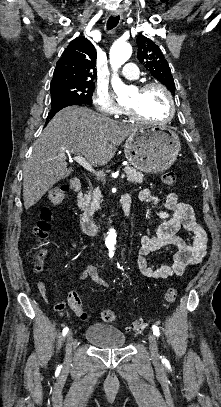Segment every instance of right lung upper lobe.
Masks as SVG:
<instances>
[{
	"label": "right lung upper lobe",
	"mask_w": 221,
	"mask_h": 407,
	"mask_svg": "<svg viewBox=\"0 0 221 407\" xmlns=\"http://www.w3.org/2000/svg\"><path fill=\"white\" fill-rule=\"evenodd\" d=\"M97 53L85 37L72 40L58 60L50 89L80 82H93L96 78Z\"/></svg>",
	"instance_id": "right-lung-upper-lobe-1"
}]
</instances>
